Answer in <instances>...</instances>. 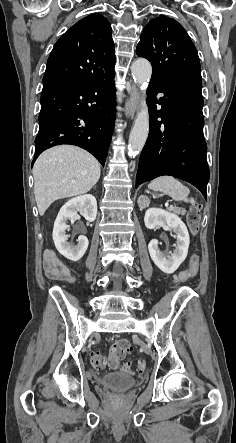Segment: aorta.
<instances>
[{"mask_svg": "<svg viewBox=\"0 0 236 443\" xmlns=\"http://www.w3.org/2000/svg\"><path fill=\"white\" fill-rule=\"evenodd\" d=\"M131 72L133 79L140 86L143 94L140 109L130 132L128 144L129 152L132 155H137L142 151L149 133V112L146 103V86L152 75V67L148 60L138 58L132 63Z\"/></svg>", "mask_w": 236, "mask_h": 443, "instance_id": "aorta-1", "label": "aorta"}]
</instances>
